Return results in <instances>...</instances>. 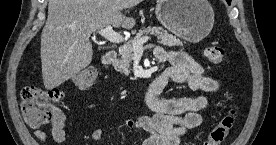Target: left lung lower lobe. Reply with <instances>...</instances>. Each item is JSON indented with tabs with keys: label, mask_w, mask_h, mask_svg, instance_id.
Returning a JSON list of instances; mask_svg holds the SVG:
<instances>
[{
	"label": "left lung lower lobe",
	"mask_w": 276,
	"mask_h": 145,
	"mask_svg": "<svg viewBox=\"0 0 276 145\" xmlns=\"http://www.w3.org/2000/svg\"><path fill=\"white\" fill-rule=\"evenodd\" d=\"M227 2H228V4L230 5V3H231V0H226Z\"/></svg>",
	"instance_id": "0a47b994"
}]
</instances>
